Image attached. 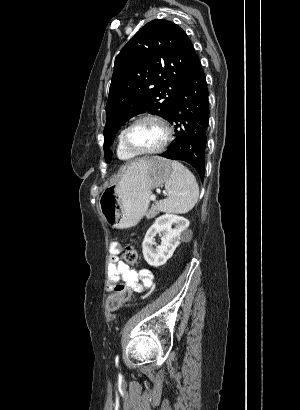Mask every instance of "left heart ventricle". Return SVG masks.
<instances>
[{"label": "left heart ventricle", "instance_id": "left-heart-ventricle-1", "mask_svg": "<svg viewBox=\"0 0 300 410\" xmlns=\"http://www.w3.org/2000/svg\"><path fill=\"white\" fill-rule=\"evenodd\" d=\"M164 136V129L158 122L143 120L129 130L127 140L136 149L152 150L163 142Z\"/></svg>", "mask_w": 300, "mask_h": 410}]
</instances>
